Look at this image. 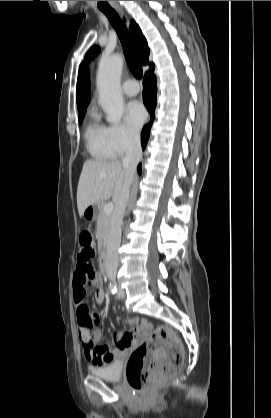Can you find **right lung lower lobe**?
<instances>
[{"label": "right lung lower lobe", "instance_id": "obj_1", "mask_svg": "<svg viewBox=\"0 0 271 418\" xmlns=\"http://www.w3.org/2000/svg\"><path fill=\"white\" fill-rule=\"evenodd\" d=\"M156 90V77L154 75V67H152L149 71L146 72L143 80V101L151 115L149 124L145 125L142 130L141 144L143 149L147 144L151 125L155 117ZM138 172L139 174L141 173V165L138 166Z\"/></svg>", "mask_w": 271, "mask_h": 418}]
</instances>
